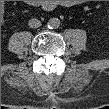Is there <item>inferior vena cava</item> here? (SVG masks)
Wrapping results in <instances>:
<instances>
[{"mask_svg":"<svg viewBox=\"0 0 109 109\" xmlns=\"http://www.w3.org/2000/svg\"><path fill=\"white\" fill-rule=\"evenodd\" d=\"M28 25L31 28H38L41 26V21L36 18H32L29 20Z\"/></svg>","mask_w":109,"mask_h":109,"instance_id":"1","label":"inferior vena cava"}]
</instances>
